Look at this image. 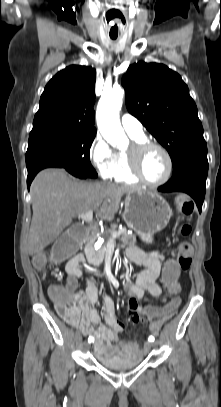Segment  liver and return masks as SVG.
I'll return each mask as SVG.
<instances>
[{"label":"liver","instance_id":"6515ba94","mask_svg":"<svg viewBox=\"0 0 221 407\" xmlns=\"http://www.w3.org/2000/svg\"><path fill=\"white\" fill-rule=\"evenodd\" d=\"M139 190L107 182H79L64 169L39 172L30 189L33 216L28 236L29 254L41 253L79 214L94 210L98 217L112 220L122 196Z\"/></svg>","mask_w":221,"mask_h":407}]
</instances>
